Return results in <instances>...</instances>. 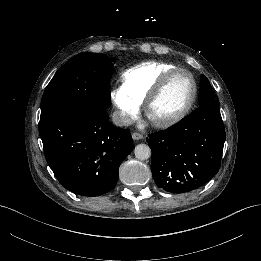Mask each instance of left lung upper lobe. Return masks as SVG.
Instances as JSON below:
<instances>
[{
  "label": "left lung upper lobe",
  "mask_w": 261,
  "mask_h": 261,
  "mask_svg": "<svg viewBox=\"0 0 261 261\" xmlns=\"http://www.w3.org/2000/svg\"><path fill=\"white\" fill-rule=\"evenodd\" d=\"M215 92L213 88L211 87L208 79L201 75L200 80V91H199V104H203L205 102L214 100Z\"/></svg>",
  "instance_id": "1"
}]
</instances>
